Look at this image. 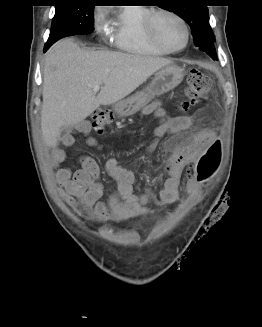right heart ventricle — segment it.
I'll return each instance as SVG.
<instances>
[{
  "label": "right heart ventricle",
  "mask_w": 262,
  "mask_h": 327,
  "mask_svg": "<svg viewBox=\"0 0 262 327\" xmlns=\"http://www.w3.org/2000/svg\"><path fill=\"white\" fill-rule=\"evenodd\" d=\"M145 7H123L110 23L112 44L118 49L139 55L168 54L148 37L144 19L149 13Z\"/></svg>",
  "instance_id": "right-heart-ventricle-1"
}]
</instances>
